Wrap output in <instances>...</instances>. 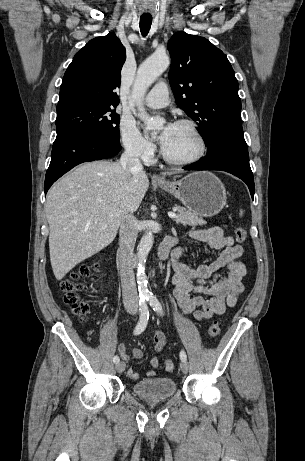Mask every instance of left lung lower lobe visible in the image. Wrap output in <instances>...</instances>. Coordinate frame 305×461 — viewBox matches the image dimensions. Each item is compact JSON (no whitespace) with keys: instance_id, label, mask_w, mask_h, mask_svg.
<instances>
[{"instance_id":"obj_1","label":"left lung lower lobe","mask_w":305,"mask_h":461,"mask_svg":"<svg viewBox=\"0 0 305 461\" xmlns=\"http://www.w3.org/2000/svg\"><path fill=\"white\" fill-rule=\"evenodd\" d=\"M185 170H222L242 179L254 197V179L241 123L222 126L213 135L207 155Z\"/></svg>"}]
</instances>
